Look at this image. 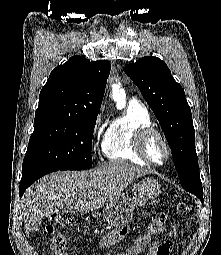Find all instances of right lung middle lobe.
Returning <instances> with one entry per match:
<instances>
[{
    "label": "right lung middle lobe",
    "instance_id": "right-lung-middle-lobe-1",
    "mask_svg": "<svg viewBox=\"0 0 221 255\" xmlns=\"http://www.w3.org/2000/svg\"><path fill=\"white\" fill-rule=\"evenodd\" d=\"M98 113L35 115L22 171L34 167L55 170L92 167V136Z\"/></svg>",
    "mask_w": 221,
    "mask_h": 255
}]
</instances>
